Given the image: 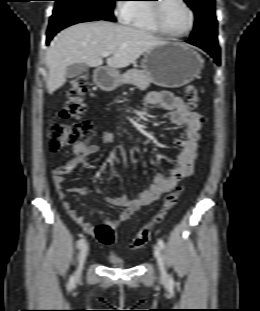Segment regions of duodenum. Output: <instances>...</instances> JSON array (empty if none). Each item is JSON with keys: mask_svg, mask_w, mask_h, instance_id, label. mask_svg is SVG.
Instances as JSON below:
<instances>
[{"mask_svg": "<svg viewBox=\"0 0 260 311\" xmlns=\"http://www.w3.org/2000/svg\"><path fill=\"white\" fill-rule=\"evenodd\" d=\"M107 74V70L105 68H99L95 73V78L98 83H102L101 79H103Z\"/></svg>", "mask_w": 260, "mask_h": 311, "instance_id": "410a0bca", "label": "duodenum"}]
</instances>
